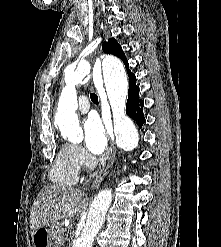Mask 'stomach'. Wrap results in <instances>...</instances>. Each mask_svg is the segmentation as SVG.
<instances>
[{
  "instance_id": "obj_1",
  "label": "stomach",
  "mask_w": 221,
  "mask_h": 247,
  "mask_svg": "<svg viewBox=\"0 0 221 247\" xmlns=\"http://www.w3.org/2000/svg\"><path fill=\"white\" fill-rule=\"evenodd\" d=\"M52 228L41 227L32 235L33 247H52L53 242Z\"/></svg>"
}]
</instances>
